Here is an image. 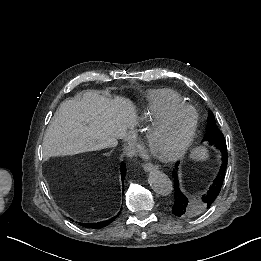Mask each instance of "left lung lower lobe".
<instances>
[{
    "label": "left lung lower lobe",
    "mask_w": 261,
    "mask_h": 261,
    "mask_svg": "<svg viewBox=\"0 0 261 261\" xmlns=\"http://www.w3.org/2000/svg\"><path fill=\"white\" fill-rule=\"evenodd\" d=\"M222 152V164L220 166L219 172L213 182V185L210 187L208 193L206 195H203L201 200L203 202H200L197 200V203H193L192 201H188V199L182 194L180 188H179V176H178V164H176V169L173 171V177H174V189H175V195H174V204L172 207V213L180 218L190 217L193 215H196L203 211L205 208H209L213 201L218 196L221 187L223 185L225 172L227 168V149L224 148L220 150ZM198 204L199 207H196Z\"/></svg>",
    "instance_id": "1"
}]
</instances>
